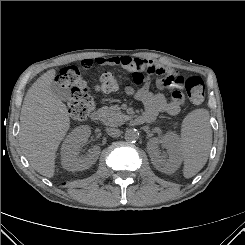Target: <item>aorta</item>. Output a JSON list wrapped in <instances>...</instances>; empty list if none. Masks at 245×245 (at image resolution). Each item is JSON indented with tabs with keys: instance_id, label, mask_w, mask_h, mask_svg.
<instances>
[{
	"instance_id": "762f6f07",
	"label": "aorta",
	"mask_w": 245,
	"mask_h": 245,
	"mask_svg": "<svg viewBox=\"0 0 245 245\" xmlns=\"http://www.w3.org/2000/svg\"><path fill=\"white\" fill-rule=\"evenodd\" d=\"M124 136H125V140H127L129 142H135L139 138V132H138V130H136L134 128H130V129H127L125 131Z\"/></svg>"
}]
</instances>
